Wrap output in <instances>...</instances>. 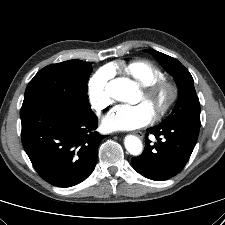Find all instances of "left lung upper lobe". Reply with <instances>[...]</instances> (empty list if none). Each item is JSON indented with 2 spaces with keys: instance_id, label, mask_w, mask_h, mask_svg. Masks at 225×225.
Instances as JSON below:
<instances>
[{
  "instance_id": "1",
  "label": "left lung upper lobe",
  "mask_w": 225,
  "mask_h": 225,
  "mask_svg": "<svg viewBox=\"0 0 225 225\" xmlns=\"http://www.w3.org/2000/svg\"><path fill=\"white\" fill-rule=\"evenodd\" d=\"M146 51L155 56L160 64L174 76L179 88L177 105L160 125L176 122L200 123V103L189 71L173 57L153 49H147Z\"/></svg>"
}]
</instances>
